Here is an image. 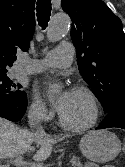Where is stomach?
I'll use <instances>...</instances> for the list:
<instances>
[{"label":"stomach","instance_id":"0dacf381","mask_svg":"<svg viewBox=\"0 0 125 167\" xmlns=\"http://www.w3.org/2000/svg\"><path fill=\"white\" fill-rule=\"evenodd\" d=\"M82 154L92 162L104 163L114 159L121 150L118 137L108 130L89 132L80 141Z\"/></svg>","mask_w":125,"mask_h":167}]
</instances>
